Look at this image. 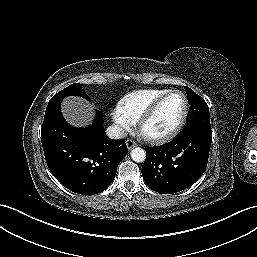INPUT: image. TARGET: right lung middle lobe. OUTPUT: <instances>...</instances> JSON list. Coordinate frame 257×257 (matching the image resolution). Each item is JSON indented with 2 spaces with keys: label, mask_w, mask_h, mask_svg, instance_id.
Wrapping results in <instances>:
<instances>
[{
  "label": "right lung middle lobe",
  "mask_w": 257,
  "mask_h": 257,
  "mask_svg": "<svg viewBox=\"0 0 257 257\" xmlns=\"http://www.w3.org/2000/svg\"><path fill=\"white\" fill-rule=\"evenodd\" d=\"M82 96L88 99V96L86 95L84 89H82V84L74 83L63 89L62 91L58 92L56 95L52 97L51 100L55 99H63L66 96Z\"/></svg>",
  "instance_id": "obj_1"
}]
</instances>
